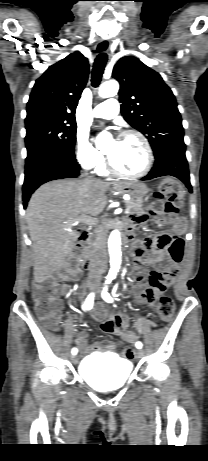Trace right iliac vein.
<instances>
[{
	"instance_id": "right-iliac-vein-1",
	"label": "right iliac vein",
	"mask_w": 208,
	"mask_h": 461,
	"mask_svg": "<svg viewBox=\"0 0 208 461\" xmlns=\"http://www.w3.org/2000/svg\"><path fill=\"white\" fill-rule=\"evenodd\" d=\"M71 362H72L73 364H77V363H78V357H77L76 355H72V356H71Z\"/></svg>"
}]
</instances>
